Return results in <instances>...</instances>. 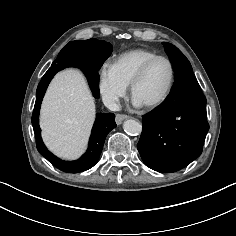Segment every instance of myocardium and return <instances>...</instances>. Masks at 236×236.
<instances>
[{
    "mask_svg": "<svg viewBox=\"0 0 236 236\" xmlns=\"http://www.w3.org/2000/svg\"><path fill=\"white\" fill-rule=\"evenodd\" d=\"M159 60H164L165 62H167V64L169 65L170 68V79H169V83L168 86L164 92V94L157 100L146 103V104H141L144 108L146 109H155L157 107H160L161 105H163L168 98L170 97L173 87H174V83H175V67L173 62L166 56H161V55H157L151 59H149L148 61H146L142 67L139 69V71L136 73L135 77L133 78L131 84H130V92L133 98H135V90L137 88V86L141 83V81L143 80V78L145 77L146 73L148 72L149 68L157 61Z\"/></svg>",
    "mask_w": 236,
    "mask_h": 236,
    "instance_id": "1",
    "label": "myocardium"
}]
</instances>
